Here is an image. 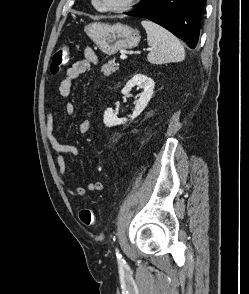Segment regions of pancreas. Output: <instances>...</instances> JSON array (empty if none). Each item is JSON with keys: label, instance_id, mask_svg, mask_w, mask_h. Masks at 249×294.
<instances>
[{"label": "pancreas", "instance_id": "pancreas-1", "mask_svg": "<svg viewBox=\"0 0 249 294\" xmlns=\"http://www.w3.org/2000/svg\"><path fill=\"white\" fill-rule=\"evenodd\" d=\"M119 69V64L115 63L113 60H110L108 63L102 66V71L105 76H109Z\"/></svg>", "mask_w": 249, "mask_h": 294}]
</instances>
